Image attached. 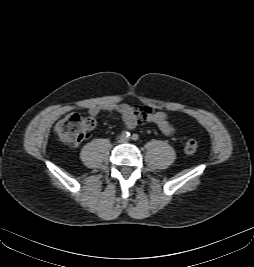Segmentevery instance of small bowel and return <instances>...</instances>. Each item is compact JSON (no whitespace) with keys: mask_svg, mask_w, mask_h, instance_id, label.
Returning a JSON list of instances; mask_svg holds the SVG:
<instances>
[{"mask_svg":"<svg viewBox=\"0 0 254 267\" xmlns=\"http://www.w3.org/2000/svg\"><path fill=\"white\" fill-rule=\"evenodd\" d=\"M102 112L119 115L125 126L129 129L135 128L138 124L153 123L166 135H172L174 127L169 121V116L165 112L154 111L149 107L133 108L128 104H103L94 105L88 109L91 117H97Z\"/></svg>","mask_w":254,"mask_h":267,"instance_id":"small-bowel-1","label":"small bowel"}]
</instances>
